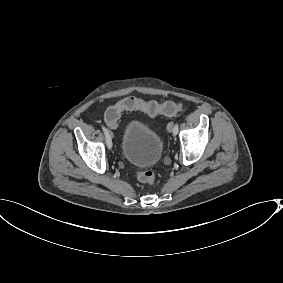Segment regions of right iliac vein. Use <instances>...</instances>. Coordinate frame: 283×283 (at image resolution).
<instances>
[{
    "instance_id": "63e3f726",
    "label": "right iliac vein",
    "mask_w": 283,
    "mask_h": 283,
    "mask_svg": "<svg viewBox=\"0 0 283 283\" xmlns=\"http://www.w3.org/2000/svg\"><path fill=\"white\" fill-rule=\"evenodd\" d=\"M109 135H110V137H113V134H112V132H109Z\"/></svg>"
}]
</instances>
